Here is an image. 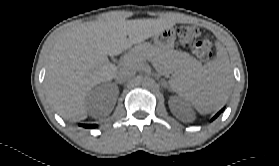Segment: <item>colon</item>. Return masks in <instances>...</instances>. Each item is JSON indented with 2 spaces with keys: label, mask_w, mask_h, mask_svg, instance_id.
<instances>
[{
  "label": "colon",
  "mask_w": 279,
  "mask_h": 166,
  "mask_svg": "<svg viewBox=\"0 0 279 166\" xmlns=\"http://www.w3.org/2000/svg\"><path fill=\"white\" fill-rule=\"evenodd\" d=\"M180 43L190 49L192 53L202 61L212 58L211 43L206 39H201V30L196 26H181L178 28Z\"/></svg>",
  "instance_id": "obj_1"
}]
</instances>
